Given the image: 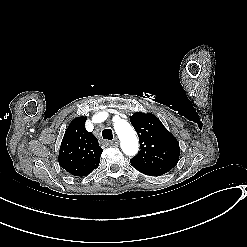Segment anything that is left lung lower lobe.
<instances>
[{
  "mask_svg": "<svg viewBox=\"0 0 247 247\" xmlns=\"http://www.w3.org/2000/svg\"><path fill=\"white\" fill-rule=\"evenodd\" d=\"M137 170L140 171L141 173H143L145 175H149V176H160V175H162L161 173L154 172V171H148V170H142V169H137Z\"/></svg>",
  "mask_w": 247,
  "mask_h": 247,
  "instance_id": "left-lung-lower-lobe-1",
  "label": "left lung lower lobe"
}]
</instances>
